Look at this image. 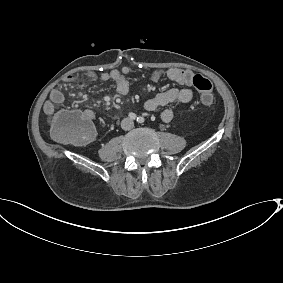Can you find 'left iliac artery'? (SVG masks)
<instances>
[{
    "instance_id": "obj_1",
    "label": "left iliac artery",
    "mask_w": 283,
    "mask_h": 283,
    "mask_svg": "<svg viewBox=\"0 0 283 283\" xmlns=\"http://www.w3.org/2000/svg\"><path fill=\"white\" fill-rule=\"evenodd\" d=\"M137 122L138 123H143L144 122V118L143 117H138L137 118Z\"/></svg>"
}]
</instances>
